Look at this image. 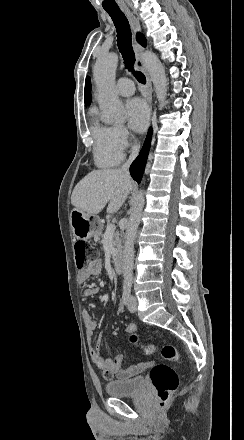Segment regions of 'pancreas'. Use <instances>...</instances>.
Listing matches in <instances>:
<instances>
[{
  "instance_id": "pancreas-1",
  "label": "pancreas",
  "mask_w": 244,
  "mask_h": 440,
  "mask_svg": "<svg viewBox=\"0 0 244 440\" xmlns=\"http://www.w3.org/2000/svg\"><path fill=\"white\" fill-rule=\"evenodd\" d=\"M98 236H104V234H98ZM113 246H115L116 250H118V248H121L119 232H113Z\"/></svg>"
}]
</instances>
